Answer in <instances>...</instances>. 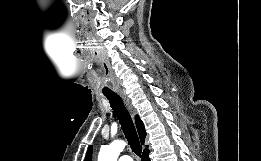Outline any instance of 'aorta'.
Here are the masks:
<instances>
[{
    "mask_svg": "<svg viewBox=\"0 0 261 161\" xmlns=\"http://www.w3.org/2000/svg\"><path fill=\"white\" fill-rule=\"evenodd\" d=\"M125 145L124 141H113L109 145H103L98 155V161H117Z\"/></svg>",
    "mask_w": 261,
    "mask_h": 161,
    "instance_id": "obj_1",
    "label": "aorta"
}]
</instances>
